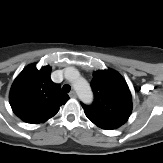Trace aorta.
<instances>
[{
    "label": "aorta",
    "mask_w": 163,
    "mask_h": 163,
    "mask_svg": "<svg viewBox=\"0 0 163 163\" xmlns=\"http://www.w3.org/2000/svg\"><path fill=\"white\" fill-rule=\"evenodd\" d=\"M67 79H69L78 94L79 99L86 104L93 101V93L89 83L79 75L76 69L68 68L65 71Z\"/></svg>",
    "instance_id": "762f6f07"
}]
</instances>
